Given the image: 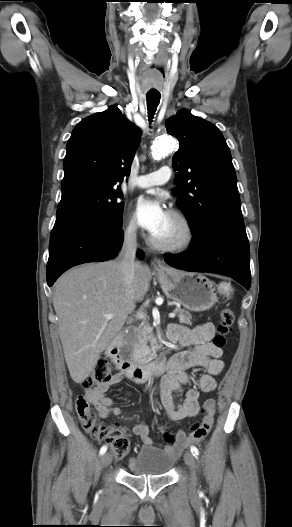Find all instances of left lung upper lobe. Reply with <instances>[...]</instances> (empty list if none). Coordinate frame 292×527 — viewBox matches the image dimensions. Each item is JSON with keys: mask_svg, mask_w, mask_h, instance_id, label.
Here are the masks:
<instances>
[{"mask_svg": "<svg viewBox=\"0 0 292 527\" xmlns=\"http://www.w3.org/2000/svg\"><path fill=\"white\" fill-rule=\"evenodd\" d=\"M166 129L180 143L172 158L178 171L173 193L192 234L225 225L244 227L235 169L220 130L187 110L167 120Z\"/></svg>", "mask_w": 292, "mask_h": 527, "instance_id": "obj_1", "label": "left lung upper lobe"}]
</instances>
